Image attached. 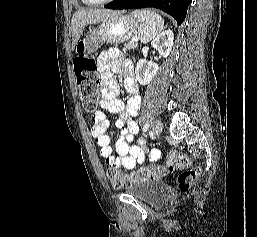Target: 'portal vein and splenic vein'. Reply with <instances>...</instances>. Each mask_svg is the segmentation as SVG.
Instances as JSON below:
<instances>
[{
	"instance_id": "18ae733b",
	"label": "portal vein and splenic vein",
	"mask_w": 257,
	"mask_h": 237,
	"mask_svg": "<svg viewBox=\"0 0 257 237\" xmlns=\"http://www.w3.org/2000/svg\"><path fill=\"white\" fill-rule=\"evenodd\" d=\"M132 40L137 42L138 41V37H134Z\"/></svg>"
}]
</instances>
